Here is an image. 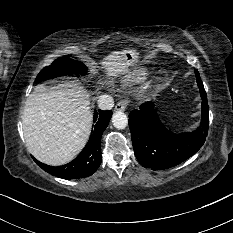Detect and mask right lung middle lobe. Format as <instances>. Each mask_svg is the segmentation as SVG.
<instances>
[{
  "mask_svg": "<svg viewBox=\"0 0 233 233\" xmlns=\"http://www.w3.org/2000/svg\"><path fill=\"white\" fill-rule=\"evenodd\" d=\"M84 74L86 73V67L81 62L75 61L71 58L64 57L55 60L50 66H47L41 70L38 74L35 82L44 81L60 75L70 74Z\"/></svg>",
  "mask_w": 233,
  "mask_h": 233,
  "instance_id": "1",
  "label": "right lung middle lobe"
}]
</instances>
